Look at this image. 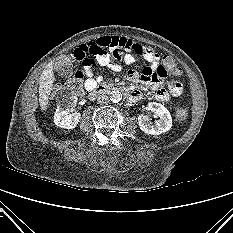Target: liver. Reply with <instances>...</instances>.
I'll return each instance as SVG.
<instances>
[{
  "mask_svg": "<svg viewBox=\"0 0 233 233\" xmlns=\"http://www.w3.org/2000/svg\"><path fill=\"white\" fill-rule=\"evenodd\" d=\"M55 77L53 64L49 63L42 72L39 82V103L41 110H46Z\"/></svg>",
  "mask_w": 233,
  "mask_h": 233,
  "instance_id": "1",
  "label": "liver"
}]
</instances>
